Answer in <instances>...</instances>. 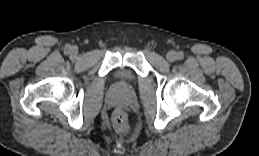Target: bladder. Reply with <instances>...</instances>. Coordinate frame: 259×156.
<instances>
[{
    "label": "bladder",
    "mask_w": 259,
    "mask_h": 156,
    "mask_svg": "<svg viewBox=\"0 0 259 156\" xmlns=\"http://www.w3.org/2000/svg\"><path fill=\"white\" fill-rule=\"evenodd\" d=\"M117 78L125 82H133L134 75L127 69H120L117 72Z\"/></svg>",
    "instance_id": "bladder-1"
}]
</instances>
